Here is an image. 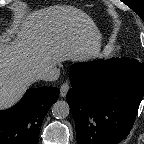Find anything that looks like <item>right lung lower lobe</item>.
<instances>
[{
  "label": "right lung lower lobe",
  "instance_id": "98d812e1",
  "mask_svg": "<svg viewBox=\"0 0 144 144\" xmlns=\"http://www.w3.org/2000/svg\"><path fill=\"white\" fill-rule=\"evenodd\" d=\"M58 96L56 87L31 88L18 104L0 111V144H38L42 121Z\"/></svg>",
  "mask_w": 144,
  "mask_h": 144
}]
</instances>
